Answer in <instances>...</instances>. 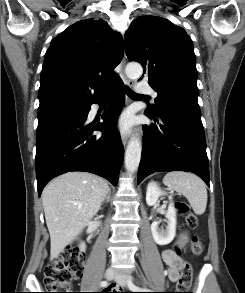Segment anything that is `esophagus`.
<instances>
[{"mask_svg": "<svg viewBox=\"0 0 245 293\" xmlns=\"http://www.w3.org/2000/svg\"><path fill=\"white\" fill-rule=\"evenodd\" d=\"M126 60H125V56L123 57L121 63H120V76L123 80V82L125 83V85L128 86H132L133 85V81L129 78L126 77L125 72H124V66H125ZM122 144L125 146L129 140V135H122Z\"/></svg>", "mask_w": 245, "mask_h": 293, "instance_id": "esophagus-1", "label": "esophagus"}]
</instances>
